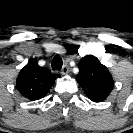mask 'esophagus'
I'll return each instance as SVG.
<instances>
[{
  "mask_svg": "<svg viewBox=\"0 0 133 133\" xmlns=\"http://www.w3.org/2000/svg\"><path fill=\"white\" fill-rule=\"evenodd\" d=\"M69 72V67L67 65H64L61 69V74L66 75Z\"/></svg>",
  "mask_w": 133,
  "mask_h": 133,
  "instance_id": "1",
  "label": "esophagus"
}]
</instances>
